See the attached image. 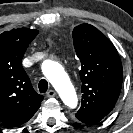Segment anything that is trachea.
<instances>
[{
	"instance_id": "trachea-1",
	"label": "trachea",
	"mask_w": 133,
	"mask_h": 133,
	"mask_svg": "<svg viewBox=\"0 0 133 133\" xmlns=\"http://www.w3.org/2000/svg\"><path fill=\"white\" fill-rule=\"evenodd\" d=\"M38 87L41 93H45L48 90V82L45 79H42L40 80Z\"/></svg>"
}]
</instances>
